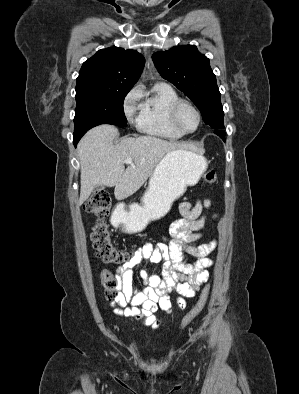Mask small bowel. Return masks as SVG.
Wrapping results in <instances>:
<instances>
[{
	"label": "small bowel",
	"mask_w": 299,
	"mask_h": 394,
	"mask_svg": "<svg viewBox=\"0 0 299 394\" xmlns=\"http://www.w3.org/2000/svg\"><path fill=\"white\" fill-rule=\"evenodd\" d=\"M210 206L209 199L198 200L195 204L182 202L179 205L182 218L172 222L169 227L171 242L168 245L147 242L135 252L130 261L117 268L118 293L110 304L116 315L141 319L144 326L155 329L160 324L154 315L157 309L166 312L172 309L168 293L176 291L177 305L185 307L184 298L193 297L196 290L208 280L207 268L213 264L208 255L215 249V241L192 244L204 236L206 217L203 210ZM184 253L197 260L194 263L184 262ZM142 261L163 263V269L160 274H149L140 269L138 275L145 286L138 289L134 283V269Z\"/></svg>",
	"instance_id": "1"
}]
</instances>
